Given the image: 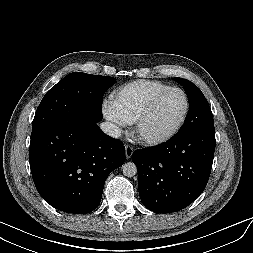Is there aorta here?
I'll use <instances>...</instances> for the list:
<instances>
[{
	"mask_svg": "<svg viewBox=\"0 0 253 253\" xmlns=\"http://www.w3.org/2000/svg\"><path fill=\"white\" fill-rule=\"evenodd\" d=\"M123 175L133 177L137 173V167L133 162H127L122 166Z\"/></svg>",
	"mask_w": 253,
	"mask_h": 253,
	"instance_id": "1",
	"label": "aorta"
}]
</instances>
